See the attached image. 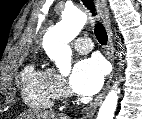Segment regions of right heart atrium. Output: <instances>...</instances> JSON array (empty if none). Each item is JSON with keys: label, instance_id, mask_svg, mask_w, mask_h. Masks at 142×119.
<instances>
[{"label": "right heart atrium", "instance_id": "obj_1", "mask_svg": "<svg viewBox=\"0 0 142 119\" xmlns=\"http://www.w3.org/2000/svg\"><path fill=\"white\" fill-rule=\"evenodd\" d=\"M51 72L53 74L56 97L57 98L65 97L67 95V89L64 78L53 71Z\"/></svg>", "mask_w": 142, "mask_h": 119}]
</instances>
